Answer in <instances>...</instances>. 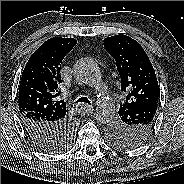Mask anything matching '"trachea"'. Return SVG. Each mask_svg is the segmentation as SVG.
I'll return each instance as SVG.
<instances>
[{
    "label": "trachea",
    "instance_id": "1",
    "mask_svg": "<svg viewBox=\"0 0 184 184\" xmlns=\"http://www.w3.org/2000/svg\"><path fill=\"white\" fill-rule=\"evenodd\" d=\"M75 103H87V104H90V101L87 97H80Z\"/></svg>",
    "mask_w": 184,
    "mask_h": 184
}]
</instances>
